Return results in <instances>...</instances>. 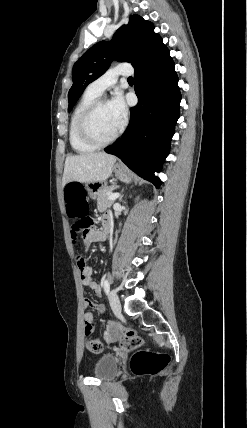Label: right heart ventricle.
<instances>
[{
	"mask_svg": "<svg viewBox=\"0 0 247 428\" xmlns=\"http://www.w3.org/2000/svg\"><path fill=\"white\" fill-rule=\"evenodd\" d=\"M98 97V95L86 89L72 112L69 124V142L72 149L77 153L86 154L97 149V147L87 143L81 137L79 133V120L87 107L97 100Z\"/></svg>",
	"mask_w": 247,
	"mask_h": 428,
	"instance_id": "1",
	"label": "right heart ventricle"
}]
</instances>
